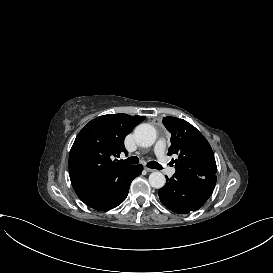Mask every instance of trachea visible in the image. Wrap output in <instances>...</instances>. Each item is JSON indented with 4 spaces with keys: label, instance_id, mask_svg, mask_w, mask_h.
<instances>
[{
    "label": "trachea",
    "instance_id": "trachea-1",
    "mask_svg": "<svg viewBox=\"0 0 273 273\" xmlns=\"http://www.w3.org/2000/svg\"><path fill=\"white\" fill-rule=\"evenodd\" d=\"M128 164H137L139 162L138 158L135 156H131L129 158H127L125 160ZM147 167L151 168V169H157V170H161L162 167L159 163L155 162V161H150L147 163Z\"/></svg>",
    "mask_w": 273,
    "mask_h": 273
}]
</instances>
